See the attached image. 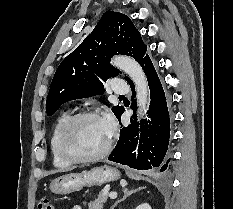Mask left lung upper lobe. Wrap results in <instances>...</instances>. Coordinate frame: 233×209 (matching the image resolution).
I'll use <instances>...</instances> for the list:
<instances>
[{"label": "left lung upper lobe", "instance_id": "1", "mask_svg": "<svg viewBox=\"0 0 233 209\" xmlns=\"http://www.w3.org/2000/svg\"><path fill=\"white\" fill-rule=\"evenodd\" d=\"M146 51L147 46L129 17L106 12L91 34L58 66L46 101L47 115H53L66 101L100 93L103 82L119 73L109 65L112 56L124 54L141 63ZM125 80L130 81L128 77ZM122 109L119 105L112 107L116 117Z\"/></svg>", "mask_w": 233, "mask_h": 209}]
</instances>
